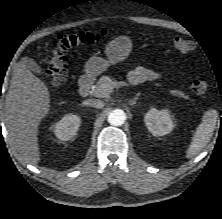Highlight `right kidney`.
Segmentation results:
<instances>
[{
    "mask_svg": "<svg viewBox=\"0 0 222 219\" xmlns=\"http://www.w3.org/2000/svg\"><path fill=\"white\" fill-rule=\"evenodd\" d=\"M81 119L75 114H66L60 121L52 125L51 130L61 141L72 139L80 126Z\"/></svg>",
    "mask_w": 222,
    "mask_h": 219,
    "instance_id": "1",
    "label": "right kidney"
}]
</instances>
